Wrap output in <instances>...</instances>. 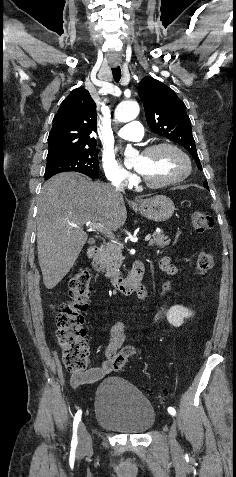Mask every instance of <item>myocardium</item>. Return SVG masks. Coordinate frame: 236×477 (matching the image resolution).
<instances>
[{
	"mask_svg": "<svg viewBox=\"0 0 236 477\" xmlns=\"http://www.w3.org/2000/svg\"><path fill=\"white\" fill-rule=\"evenodd\" d=\"M162 148L172 149L173 151L181 155L186 162V170L181 175L173 179L162 181V182H152L148 180L147 178H145L140 172L137 171V176L139 181L149 188L159 189V188H165V187L176 185L182 182L183 180H185L192 172V161L190 157L187 155V153L183 149H181L178 145L172 142L163 141V142H158V143L149 145L142 151V155L151 154Z\"/></svg>",
	"mask_w": 236,
	"mask_h": 477,
	"instance_id": "obj_1",
	"label": "myocardium"
}]
</instances>
